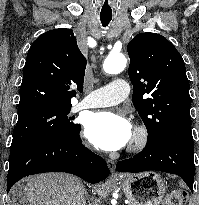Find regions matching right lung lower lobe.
Listing matches in <instances>:
<instances>
[{
	"instance_id": "1",
	"label": "right lung lower lobe",
	"mask_w": 199,
	"mask_h": 205,
	"mask_svg": "<svg viewBox=\"0 0 199 205\" xmlns=\"http://www.w3.org/2000/svg\"><path fill=\"white\" fill-rule=\"evenodd\" d=\"M56 171L92 184L110 174L107 163L82 144L79 133L58 135L10 150L7 192L25 176Z\"/></svg>"
}]
</instances>
